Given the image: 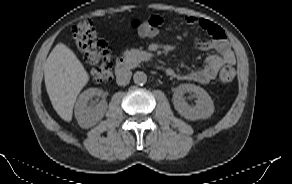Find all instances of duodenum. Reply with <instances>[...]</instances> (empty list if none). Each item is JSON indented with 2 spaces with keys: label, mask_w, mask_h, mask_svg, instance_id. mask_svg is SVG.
<instances>
[{
  "label": "duodenum",
  "mask_w": 292,
  "mask_h": 184,
  "mask_svg": "<svg viewBox=\"0 0 292 184\" xmlns=\"http://www.w3.org/2000/svg\"><path fill=\"white\" fill-rule=\"evenodd\" d=\"M115 69H116L117 76L120 79L125 77L126 71H127V63L125 62L123 58L117 59Z\"/></svg>",
  "instance_id": "410a0bca"
}]
</instances>
